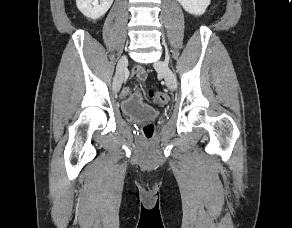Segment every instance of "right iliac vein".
Returning a JSON list of instances; mask_svg holds the SVG:
<instances>
[{"instance_id":"1","label":"right iliac vein","mask_w":292,"mask_h":228,"mask_svg":"<svg viewBox=\"0 0 292 228\" xmlns=\"http://www.w3.org/2000/svg\"><path fill=\"white\" fill-rule=\"evenodd\" d=\"M127 64H128V59L126 56H122L120 60L118 61L117 68H116V79L113 84V91L115 93H117L122 86V83L124 81V71L127 67Z\"/></svg>"}]
</instances>
